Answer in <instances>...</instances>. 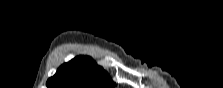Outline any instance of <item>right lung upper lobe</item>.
<instances>
[{
  "mask_svg": "<svg viewBox=\"0 0 223 88\" xmlns=\"http://www.w3.org/2000/svg\"><path fill=\"white\" fill-rule=\"evenodd\" d=\"M107 72L88 56H78L61 65L47 81L48 88H112Z\"/></svg>",
  "mask_w": 223,
  "mask_h": 88,
  "instance_id": "cb5924a9",
  "label": "right lung upper lobe"
}]
</instances>
